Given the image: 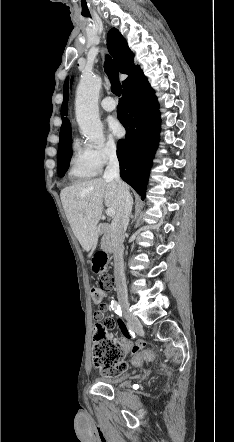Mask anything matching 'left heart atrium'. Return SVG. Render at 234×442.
<instances>
[{"label": "left heart atrium", "instance_id": "obj_1", "mask_svg": "<svg viewBox=\"0 0 234 442\" xmlns=\"http://www.w3.org/2000/svg\"><path fill=\"white\" fill-rule=\"evenodd\" d=\"M108 130L115 138H121L124 134L123 126L116 118H110L108 120Z\"/></svg>", "mask_w": 234, "mask_h": 442}]
</instances>
